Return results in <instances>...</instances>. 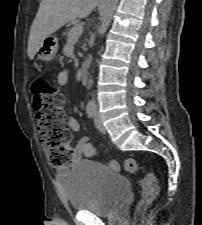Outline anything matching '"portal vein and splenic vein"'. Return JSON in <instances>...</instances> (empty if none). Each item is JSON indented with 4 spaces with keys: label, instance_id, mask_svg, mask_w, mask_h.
Wrapping results in <instances>:
<instances>
[{
    "label": "portal vein and splenic vein",
    "instance_id": "18ae733b",
    "mask_svg": "<svg viewBox=\"0 0 202 225\" xmlns=\"http://www.w3.org/2000/svg\"><path fill=\"white\" fill-rule=\"evenodd\" d=\"M83 32V26L82 25H75L68 34L67 42H75L78 40L80 35Z\"/></svg>",
    "mask_w": 202,
    "mask_h": 225
}]
</instances>
